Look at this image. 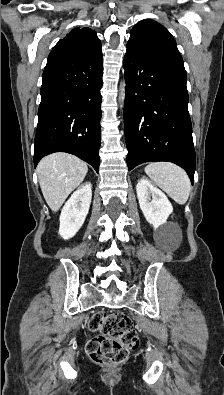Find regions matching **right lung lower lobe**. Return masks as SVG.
<instances>
[{
    "label": "right lung lower lobe",
    "mask_w": 224,
    "mask_h": 395,
    "mask_svg": "<svg viewBox=\"0 0 224 395\" xmlns=\"http://www.w3.org/2000/svg\"><path fill=\"white\" fill-rule=\"evenodd\" d=\"M102 53L89 56L60 40L43 72L34 166L54 152H67L99 172Z\"/></svg>",
    "instance_id": "1"
}]
</instances>
